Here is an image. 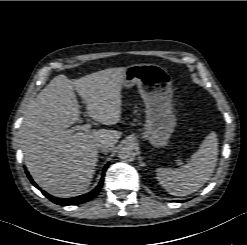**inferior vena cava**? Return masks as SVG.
Returning a JSON list of instances; mask_svg holds the SVG:
<instances>
[{
    "label": "inferior vena cava",
    "instance_id": "602c4592",
    "mask_svg": "<svg viewBox=\"0 0 247 245\" xmlns=\"http://www.w3.org/2000/svg\"><path fill=\"white\" fill-rule=\"evenodd\" d=\"M112 147V144L110 142L103 141L101 144H99V149L102 151H108Z\"/></svg>",
    "mask_w": 247,
    "mask_h": 245
}]
</instances>
